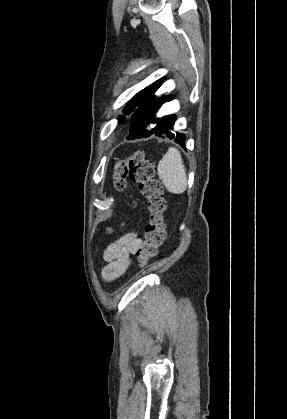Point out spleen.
Instances as JSON below:
<instances>
[{"label":"spleen","mask_w":287,"mask_h":419,"mask_svg":"<svg viewBox=\"0 0 287 419\" xmlns=\"http://www.w3.org/2000/svg\"><path fill=\"white\" fill-rule=\"evenodd\" d=\"M158 176L166 189L173 194H181L187 188V176L182 156L174 147H170L158 164Z\"/></svg>","instance_id":"1"}]
</instances>
